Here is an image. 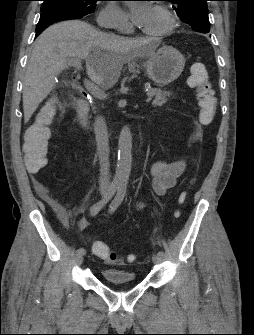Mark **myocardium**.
<instances>
[{
	"mask_svg": "<svg viewBox=\"0 0 254 335\" xmlns=\"http://www.w3.org/2000/svg\"><path fill=\"white\" fill-rule=\"evenodd\" d=\"M155 8L162 13V15L167 19V25L164 29H162L161 31L158 32H149V31H145V33L147 35H151V36H158V37H162V36H166L168 34H170L174 28L176 27V18L175 16L172 14V12L165 6L163 5H156Z\"/></svg>",
	"mask_w": 254,
	"mask_h": 335,
	"instance_id": "f54148a6",
	"label": "myocardium"
}]
</instances>
